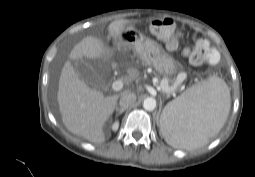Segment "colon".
Segmentation results:
<instances>
[{"label": "colon", "instance_id": "1", "mask_svg": "<svg viewBox=\"0 0 255 177\" xmlns=\"http://www.w3.org/2000/svg\"><path fill=\"white\" fill-rule=\"evenodd\" d=\"M153 34L164 41L169 49L177 47V37L179 31L171 19H157L151 23ZM190 62L194 65H201L205 62H214L217 58V52L210 46L205 39H200L194 45L185 50Z\"/></svg>", "mask_w": 255, "mask_h": 177}]
</instances>
